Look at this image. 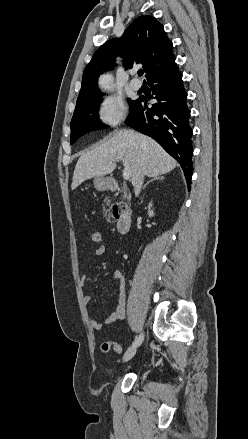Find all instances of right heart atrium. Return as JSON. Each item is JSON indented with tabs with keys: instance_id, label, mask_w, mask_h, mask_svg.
<instances>
[{
	"instance_id": "d8ad5b80",
	"label": "right heart atrium",
	"mask_w": 248,
	"mask_h": 439,
	"mask_svg": "<svg viewBox=\"0 0 248 439\" xmlns=\"http://www.w3.org/2000/svg\"><path fill=\"white\" fill-rule=\"evenodd\" d=\"M126 108L123 101L115 96L103 99L97 107V121L105 127H116L123 122Z\"/></svg>"
}]
</instances>
